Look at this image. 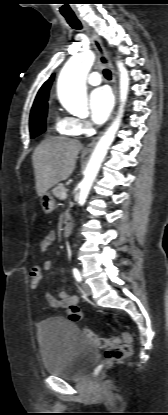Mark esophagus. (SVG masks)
<instances>
[{"label": "esophagus", "mask_w": 168, "mask_h": 415, "mask_svg": "<svg viewBox=\"0 0 168 415\" xmlns=\"http://www.w3.org/2000/svg\"><path fill=\"white\" fill-rule=\"evenodd\" d=\"M78 19L80 20V22L82 23L84 29L86 30L87 34L89 35L92 43L94 44L98 55H99V61L101 62V64L106 65L109 67L111 74H112V87H113V93H114V97H115V106L117 104V100H118V93H117V72L112 64V62L109 59L108 53L101 41V39L99 38V36L96 34V32L87 24V22L81 18L80 16H78ZM114 114V111H113ZM113 114L111 115V118L113 117ZM104 131H102L97 137H95L86 147H85V151H92L93 148L95 147L97 141L99 140V138L101 137V135L103 134Z\"/></svg>", "instance_id": "1"}]
</instances>
